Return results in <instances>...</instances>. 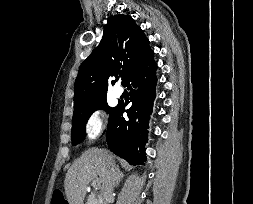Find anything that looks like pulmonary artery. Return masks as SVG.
Returning a JSON list of instances; mask_svg holds the SVG:
<instances>
[{"mask_svg": "<svg viewBox=\"0 0 253 204\" xmlns=\"http://www.w3.org/2000/svg\"><path fill=\"white\" fill-rule=\"evenodd\" d=\"M122 93H123V89L119 85L115 86L112 92L113 96L116 98H119L122 95Z\"/></svg>", "mask_w": 253, "mask_h": 204, "instance_id": "obj_1", "label": "pulmonary artery"}]
</instances>
